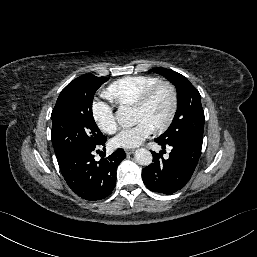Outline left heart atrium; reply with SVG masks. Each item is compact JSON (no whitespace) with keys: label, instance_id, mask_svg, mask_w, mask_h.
I'll list each match as a JSON object with an SVG mask.
<instances>
[{"label":"left heart atrium","instance_id":"39dd6f15","mask_svg":"<svg viewBox=\"0 0 257 257\" xmlns=\"http://www.w3.org/2000/svg\"><path fill=\"white\" fill-rule=\"evenodd\" d=\"M152 128L144 121H139L131 128L123 129L117 134L112 143L119 148H134L139 146L152 133Z\"/></svg>","mask_w":257,"mask_h":257}]
</instances>
